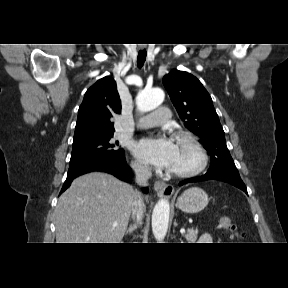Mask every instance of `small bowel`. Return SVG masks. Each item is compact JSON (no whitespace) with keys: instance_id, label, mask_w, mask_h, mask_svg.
Returning <instances> with one entry per match:
<instances>
[{"instance_id":"c3829d8e","label":"small bowel","mask_w":288,"mask_h":288,"mask_svg":"<svg viewBox=\"0 0 288 288\" xmlns=\"http://www.w3.org/2000/svg\"><path fill=\"white\" fill-rule=\"evenodd\" d=\"M213 238L209 233H204L200 237V243H212Z\"/></svg>"}]
</instances>
